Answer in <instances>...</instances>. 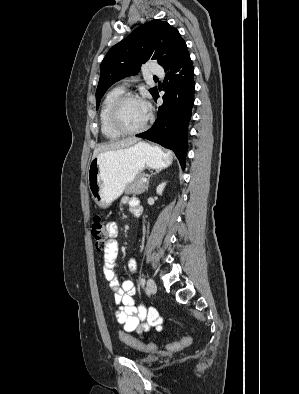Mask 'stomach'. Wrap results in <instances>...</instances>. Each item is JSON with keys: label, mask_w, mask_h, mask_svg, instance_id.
I'll use <instances>...</instances> for the list:
<instances>
[{"label": "stomach", "mask_w": 299, "mask_h": 394, "mask_svg": "<svg viewBox=\"0 0 299 394\" xmlns=\"http://www.w3.org/2000/svg\"><path fill=\"white\" fill-rule=\"evenodd\" d=\"M172 161L170 153L145 142L99 153L92 158L87 170L92 199L99 207H107L145 168L164 169Z\"/></svg>", "instance_id": "obj_1"}]
</instances>
